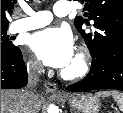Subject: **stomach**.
I'll return each instance as SVG.
<instances>
[{"label":"stomach","mask_w":123,"mask_h":113,"mask_svg":"<svg viewBox=\"0 0 123 113\" xmlns=\"http://www.w3.org/2000/svg\"><path fill=\"white\" fill-rule=\"evenodd\" d=\"M67 103L74 109L82 113H98L100 110V102L96 96L85 94L65 97Z\"/></svg>","instance_id":"0dacf381"}]
</instances>
